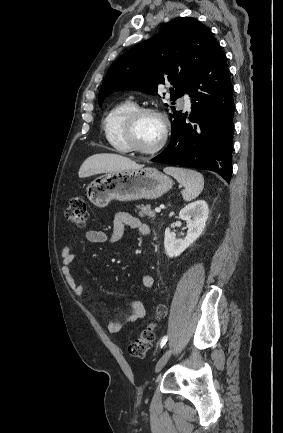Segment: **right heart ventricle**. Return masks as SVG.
Segmentation results:
<instances>
[{
  "mask_svg": "<svg viewBox=\"0 0 283 433\" xmlns=\"http://www.w3.org/2000/svg\"><path fill=\"white\" fill-rule=\"evenodd\" d=\"M135 108L137 106L133 101H123L112 108L102 121V128L108 143L120 153L129 152L121 133L126 116Z\"/></svg>",
  "mask_w": 283,
  "mask_h": 433,
  "instance_id": "right-heart-ventricle-1",
  "label": "right heart ventricle"
}]
</instances>
